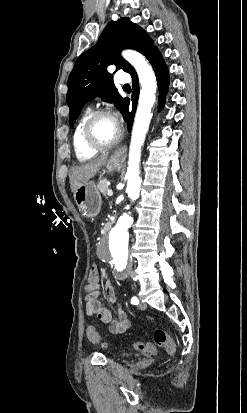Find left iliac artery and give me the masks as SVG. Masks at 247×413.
Wrapping results in <instances>:
<instances>
[{"label": "left iliac artery", "mask_w": 247, "mask_h": 413, "mask_svg": "<svg viewBox=\"0 0 247 413\" xmlns=\"http://www.w3.org/2000/svg\"><path fill=\"white\" fill-rule=\"evenodd\" d=\"M131 304H133V305H138L139 304V300H138V298L137 297H132V299H131Z\"/></svg>", "instance_id": "obj_1"}]
</instances>
